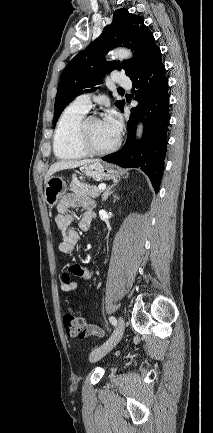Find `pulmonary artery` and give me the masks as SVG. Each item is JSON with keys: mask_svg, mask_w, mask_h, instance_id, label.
Returning <instances> with one entry per match:
<instances>
[{"mask_svg": "<svg viewBox=\"0 0 213 433\" xmlns=\"http://www.w3.org/2000/svg\"><path fill=\"white\" fill-rule=\"evenodd\" d=\"M115 82L122 87L130 88L132 83L131 80L125 76L122 73H118L115 77ZM78 107L88 110L91 106V94L90 93H84L76 97V99L73 102Z\"/></svg>", "mask_w": 213, "mask_h": 433, "instance_id": "e3ab8cb5", "label": "pulmonary artery"}]
</instances>
